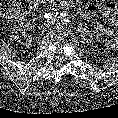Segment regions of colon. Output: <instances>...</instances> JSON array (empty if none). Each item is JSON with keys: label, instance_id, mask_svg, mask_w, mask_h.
<instances>
[{"label": "colon", "instance_id": "1", "mask_svg": "<svg viewBox=\"0 0 118 118\" xmlns=\"http://www.w3.org/2000/svg\"><path fill=\"white\" fill-rule=\"evenodd\" d=\"M30 9V0H0V15L17 17Z\"/></svg>", "mask_w": 118, "mask_h": 118}]
</instances>
